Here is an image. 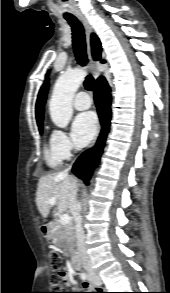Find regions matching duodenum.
I'll return each instance as SVG.
<instances>
[{"label": "duodenum", "mask_w": 170, "mask_h": 293, "mask_svg": "<svg viewBox=\"0 0 170 293\" xmlns=\"http://www.w3.org/2000/svg\"><path fill=\"white\" fill-rule=\"evenodd\" d=\"M41 234L43 235V237L48 238L49 237V227L42 226L41 227ZM71 263H72V266L74 269L78 270L80 268L79 254L76 250L74 251Z\"/></svg>", "instance_id": "obj_1"}]
</instances>
